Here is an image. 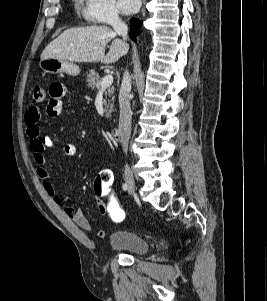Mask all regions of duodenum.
I'll return each instance as SVG.
<instances>
[{"instance_id":"obj_1","label":"duodenum","mask_w":267,"mask_h":301,"mask_svg":"<svg viewBox=\"0 0 267 301\" xmlns=\"http://www.w3.org/2000/svg\"><path fill=\"white\" fill-rule=\"evenodd\" d=\"M120 133L121 131L119 127H114L111 129V137L115 140L119 139Z\"/></svg>"}]
</instances>
